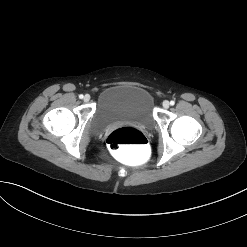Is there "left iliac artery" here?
Segmentation results:
<instances>
[{"mask_svg":"<svg viewBox=\"0 0 247 247\" xmlns=\"http://www.w3.org/2000/svg\"><path fill=\"white\" fill-rule=\"evenodd\" d=\"M174 104H175V101L171 100V101H170V105L173 106Z\"/></svg>","mask_w":247,"mask_h":247,"instance_id":"1","label":"left iliac artery"}]
</instances>
